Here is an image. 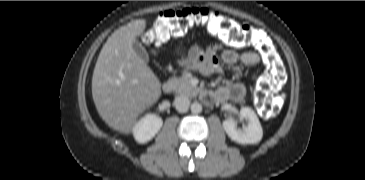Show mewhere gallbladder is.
I'll return each instance as SVG.
<instances>
[{
  "mask_svg": "<svg viewBox=\"0 0 365 180\" xmlns=\"http://www.w3.org/2000/svg\"><path fill=\"white\" fill-rule=\"evenodd\" d=\"M132 48L137 56L140 57L144 62H149V55L146 49L141 45V43H139L138 41H134L132 44Z\"/></svg>",
  "mask_w": 365,
  "mask_h": 180,
  "instance_id": "obj_1",
  "label": "gallbladder"
}]
</instances>
